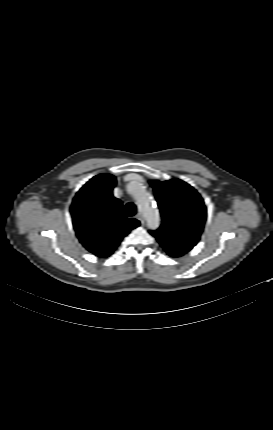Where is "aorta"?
Wrapping results in <instances>:
<instances>
[{
  "label": "aorta",
  "mask_w": 273,
  "mask_h": 430,
  "mask_svg": "<svg viewBox=\"0 0 273 430\" xmlns=\"http://www.w3.org/2000/svg\"><path fill=\"white\" fill-rule=\"evenodd\" d=\"M133 195L148 226L153 229L158 228L161 222L160 214L153 203L151 193L144 188L142 184L136 183L134 185Z\"/></svg>",
  "instance_id": "762f6f07"
}]
</instances>
